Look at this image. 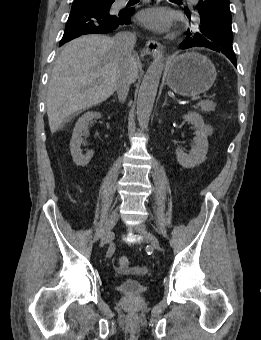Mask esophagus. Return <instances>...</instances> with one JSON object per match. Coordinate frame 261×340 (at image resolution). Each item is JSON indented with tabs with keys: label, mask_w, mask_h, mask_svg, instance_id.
I'll return each instance as SVG.
<instances>
[{
	"label": "esophagus",
	"mask_w": 261,
	"mask_h": 340,
	"mask_svg": "<svg viewBox=\"0 0 261 340\" xmlns=\"http://www.w3.org/2000/svg\"><path fill=\"white\" fill-rule=\"evenodd\" d=\"M161 2V0H156V3L159 4ZM162 45L160 42L154 40V39H150L146 42V46L143 50V52H151L152 55L154 57H157L160 55V51H161Z\"/></svg>",
	"instance_id": "esophagus-1"
}]
</instances>
